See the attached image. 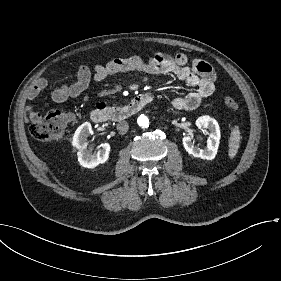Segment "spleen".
Here are the masks:
<instances>
[{
	"mask_svg": "<svg viewBox=\"0 0 281 281\" xmlns=\"http://www.w3.org/2000/svg\"><path fill=\"white\" fill-rule=\"evenodd\" d=\"M240 139L241 137H240L239 127L235 126L234 129L231 131L230 138H229L228 155L231 159H233L238 152Z\"/></svg>",
	"mask_w": 281,
	"mask_h": 281,
	"instance_id": "3e777b00",
	"label": "spleen"
}]
</instances>
